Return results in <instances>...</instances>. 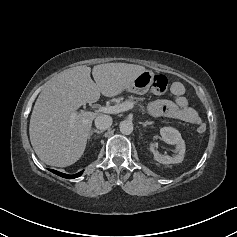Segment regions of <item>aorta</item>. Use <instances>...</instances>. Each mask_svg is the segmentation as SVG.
<instances>
[{
	"instance_id": "aorta-1",
	"label": "aorta",
	"mask_w": 237,
	"mask_h": 237,
	"mask_svg": "<svg viewBox=\"0 0 237 237\" xmlns=\"http://www.w3.org/2000/svg\"><path fill=\"white\" fill-rule=\"evenodd\" d=\"M120 132L124 135H129L133 132V123L129 120H124L119 124Z\"/></svg>"
}]
</instances>
